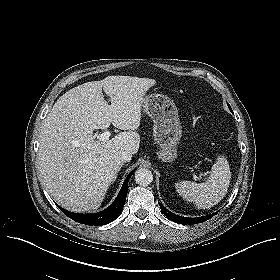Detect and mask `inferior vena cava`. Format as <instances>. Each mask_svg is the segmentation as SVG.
I'll list each match as a JSON object with an SVG mask.
<instances>
[{
	"instance_id": "obj_1",
	"label": "inferior vena cava",
	"mask_w": 280,
	"mask_h": 280,
	"mask_svg": "<svg viewBox=\"0 0 280 280\" xmlns=\"http://www.w3.org/2000/svg\"><path fill=\"white\" fill-rule=\"evenodd\" d=\"M120 161L121 163H124V162H129L132 158V153L129 152V151H123L121 154H120Z\"/></svg>"
}]
</instances>
